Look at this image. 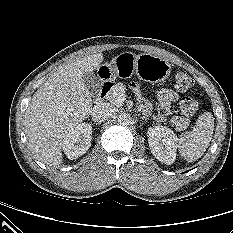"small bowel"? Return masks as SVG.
Masks as SVG:
<instances>
[{"mask_svg": "<svg viewBox=\"0 0 233 233\" xmlns=\"http://www.w3.org/2000/svg\"><path fill=\"white\" fill-rule=\"evenodd\" d=\"M134 89L138 91V88L136 86H134ZM156 97L161 109L168 110L170 108L171 103L178 100L179 95L171 89H160L157 91ZM141 105L143 107L148 106V104L143 100H141Z\"/></svg>", "mask_w": 233, "mask_h": 233, "instance_id": "c3829d8e", "label": "small bowel"}]
</instances>
